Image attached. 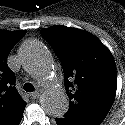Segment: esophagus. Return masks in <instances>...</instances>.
<instances>
[{
	"mask_svg": "<svg viewBox=\"0 0 125 125\" xmlns=\"http://www.w3.org/2000/svg\"><path fill=\"white\" fill-rule=\"evenodd\" d=\"M40 96V92L39 91H35L33 93L30 94V98L31 99H36Z\"/></svg>",
	"mask_w": 125,
	"mask_h": 125,
	"instance_id": "esophagus-1",
	"label": "esophagus"
}]
</instances>
